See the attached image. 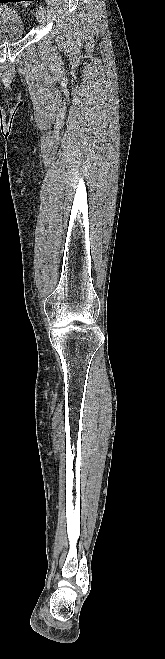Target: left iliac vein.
<instances>
[{
    "label": "left iliac vein",
    "mask_w": 165,
    "mask_h": 659,
    "mask_svg": "<svg viewBox=\"0 0 165 659\" xmlns=\"http://www.w3.org/2000/svg\"><path fill=\"white\" fill-rule=\"evenodd\" d=\"M36 19L39 22L40 25L44 26L46 23V18H45V12L42 10H37L36 11Z\"/></svg>",
    "instance_id": "1"
}]
</instances>
